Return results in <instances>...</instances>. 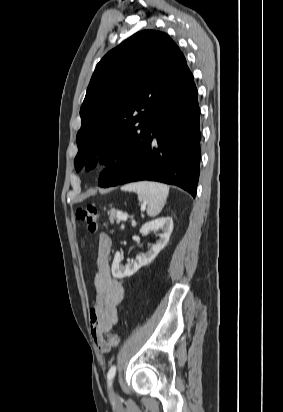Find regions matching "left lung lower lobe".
Returning <instances> with one entry per match:
<instances>
[{
    "instance_id": "left-lung-lower-lobe-1",
    "label": "left lung lower lobe",
    "mask_w": 283,
    "mask_h": 412,
    "mask_svg": "<svg viewBox=\"0 0 283 412\" xmlns=\"http://www.w3.org/2000/svg\"><path fill=\"white\" fill-rule=\"evenodd\" d=\"M191 72L150 127L134 136L100 175V186L151 180L176 185L193 197L200 163V109Z\"/></svg>"
}]
</instances>
